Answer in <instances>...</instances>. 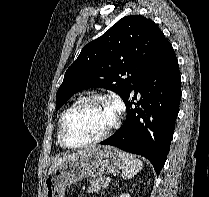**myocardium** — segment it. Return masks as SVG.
Returning a JSON list of instances; mask_svg holds the SVG:
<instances>
[{
    "label": "myocardium",
    "instance_id": "myocardium-1",
    "mask_svg": "<svg viewBox=\"0 0 209 197\" xmlns=\"http://www.w3.org/2000/svg\"><path fill=\"white\" fill-rule=\"evenodd\" d=\"M93 102H102V103H107V104L111 105L115 110V116H114L113 122L101 135H99L93 139L84 141L82 143H77V144L71 143L68 140L67 135H66V126H67L69 118L78 109H80L81 107H83L89 103H93ZM120 115H121V107L118 104H116L115 102H113L110 98H108L104 95H100V94L86 96V97L82 98L81 100H79L78 102H76L74 105H72L63 115L62 120H61V124H60L61 143L65 147L72 148V149L83 148V147H87V146L99 143V142L105 140L106 138H108L118 128L119 123H120Z\"/></svg>",
    "mask_w": 209,
    "mask_h": 197
}]
</instances>
